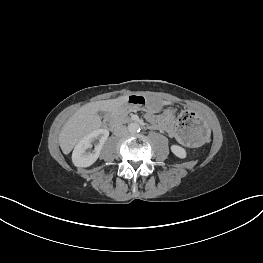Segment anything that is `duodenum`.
I'll use <instances>...</instances> for the list:
<instances>
[{"label":"duodenum","mask_w":263,"mask_h":263,"mask_svg":"<svg viewBox=\"0 0 263 263\" xmlns=\"http://www.w3.org/2000/svg\"><path fill=\"white\" fill-rule=\"evenodd\" d=\"M104 124L106 127L108 128H113L115 126V121L112 115H107L105 120H104Z\"/></svg>","instance_id":"410a0bca"}]
</instances>
